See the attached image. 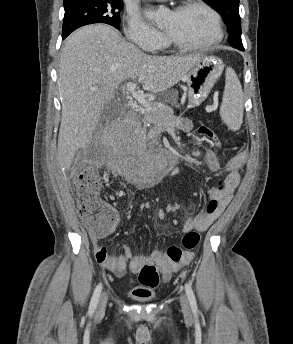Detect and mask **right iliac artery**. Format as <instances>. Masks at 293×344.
I'll list each match as a JSON object with an SVG mask.
<instances>
[{"label":"right iliac artery","mask_w":293,"mask_h":344,"mask_svg":"<svg viewBox=\"0 0 293 344\" xmlns=\"http://www.w3.org/2000/svg\"><path fill=\"white\" fill-rule=\"evenodd\" d=\"M101 291H102V284L99 283L93 293V296H92V299H91V302H90V306H89V314H93L95 309H96V306H97V303H98V300H99V297H100V294H101Z\"/></svg>","instance_id":"obj_1"}]
</instances>
